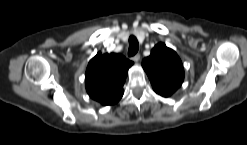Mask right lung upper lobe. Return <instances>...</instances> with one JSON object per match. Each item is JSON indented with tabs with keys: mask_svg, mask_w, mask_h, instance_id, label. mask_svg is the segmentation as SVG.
Returning <instances> with one entry per match:
<instances>
[{
	"mask_svg": "<svg viewBox=\"0 0 247 145\" xmlns=\"http://www.w3.org/2000/svg\"><path fill=\"white\" fill-rule=\"evenodd\" d=\"M133 62L121 54L97 53L88 64L85 76L89 96L102 105H113L123 96V85Z\"/></svg>",
	"mask_w": 247,
	"mask_h": 145,
	"instance_id": "1",
	"label": "right lung upper lobe"
}]
</instances>
